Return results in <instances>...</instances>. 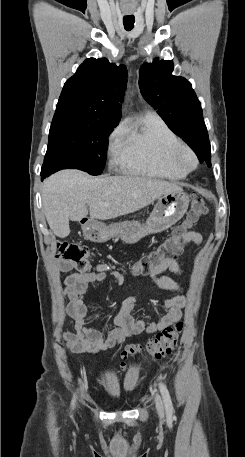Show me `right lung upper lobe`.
<instances>
[{
  "label": "right lung upper lobe",
  "mask_w": 245,
  "mask_h": 457,
  "mask_svg": "<svg viewBox=\"0 0 245 457\" xmlns=\"http://www.w3.org/2000/svg\"><path fill=\"white\" fill-rule=\"evenodd\" d=\"M127 83L124 65L86 59L66 81L55 114H77L119 121Z\"/></svg>",
  "instance_id": "obj_1"
}]
</instances>
